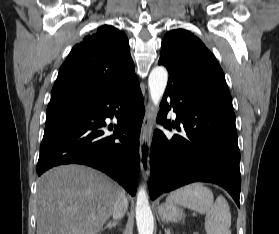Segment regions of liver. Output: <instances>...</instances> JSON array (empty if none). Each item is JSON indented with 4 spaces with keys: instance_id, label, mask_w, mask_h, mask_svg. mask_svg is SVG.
I'll list each match as a JSON object with an SVG mask.
<instances>
[{
    "instance_id": "obj_1",
    "label": "liver",
    "mask_w": 279,
    "mask_h": 234,
    "mask_svg": "<svg viewBox=\"0 0 279 234\" xmlns=\"http://www.w3.org/2000/svg\"><path fill=\"white\" fill-rule=\"evenodd\" d=\"M120 193L117 183L94 169L55 167L37 183V234H97Z\"/></svg>"
}]
</instances>
